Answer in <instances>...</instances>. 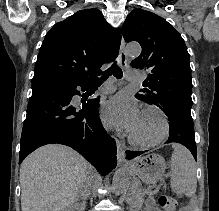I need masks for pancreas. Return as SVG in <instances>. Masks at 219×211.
<instances>
[{
	"instance_id": "pancreas-1",
	"label": "pancreas",
	"mask_w": 219,
	"mask_h": 211,
	"mask_svg": "<svg viewBox=\"0 0 219 211\" xmlns=\"http://www.w3.org/2000/svg\"><path fill=\"white\" fill-rule=\"evenodd\" d=\"M142 186H131L134 189L132 195H128V200L130 204H133L134 207L131 208V211H139V203H142L145 200V193H154L151 189H143Z\"/></svg>"
}]
</instances>
